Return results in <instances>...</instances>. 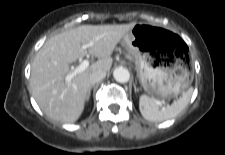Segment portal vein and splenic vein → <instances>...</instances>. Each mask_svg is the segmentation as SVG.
Returning a JSON list of instances; mask_svg holds the SVG:
<instances>
[{
	"label": "portal vein and splenic vein",
	"mask_w": 225,
	"mask_h": 155,
	"mask_svg": "<svg viewBox=\"0 0 225 155\" xmlns=\"http://www.w3.org/2000/svg\"><path fill=\"white\" fill-rule=\"evenodd\" d=\"M92 44H93V42H90V43H88V44H83V45H82V49H87V48L90 47ZM89 64H90V61H89V60H87V59L83 60V61L81 62L80 65H78L72 72H70V73L65 77V80H66L67 82H70L74 76H76L77 74L83 72V71L89 66ZM157 103H158V105H159L160 107H162V108L165 106V105H164V102H162V101H157Z\"/></svg>",
	"instance_id": "1"
}]
</instances>
